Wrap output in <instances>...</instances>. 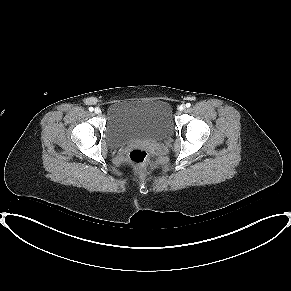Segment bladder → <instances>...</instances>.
Segmentation results:
<instances>
[{"mask_svg":"<svg viewBox=\"0 0 291 291\" xmlns=\"http://www.w3.org/2000/svg\"><path fill=\"white\" fill-rule=\"evenodd\" d=\"M174 128L170 104L163 99H129L111 103L106 112V137L111 147L134 138L157 139Z\"/></svg>","mask_w":291,"mask_h":291,"instance_id":"1","label":"bladder"}]
</instances>
